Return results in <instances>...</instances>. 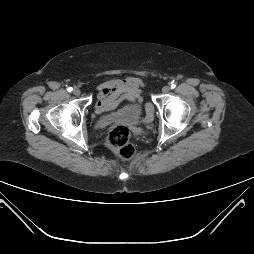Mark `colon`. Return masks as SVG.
Here are the masks:
<instances>
[{
	"mask_svg": "<svg viewBox=\"0 0 254 254\" xmlns=\"http://www.w3.org/2000/svg\"><path fill=\"white\" fill-rule=\"evenodd\" d=\"M130 129L126 125H116L109 132L107 146L122 160H130L135 154V148L130 142Z\"/></svg>",
	"mask_w": 254,
	"mask_h": 254,
	"instance_id": "5ec220e1",
	"label": "colon"
}]
</instances>
